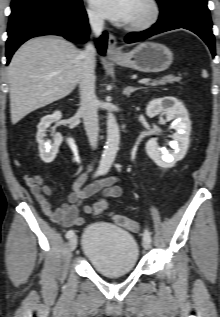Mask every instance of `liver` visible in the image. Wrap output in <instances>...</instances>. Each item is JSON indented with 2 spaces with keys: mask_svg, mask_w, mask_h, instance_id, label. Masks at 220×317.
<instances>
[{
  "mask_svg": "<svg viewBox=\"0 0 220 317\" xmlns=\"http://www.w3.org/2000/svg\"><path fill=\"white\" fill-rule=\"evenodd\" d=\"M82 62L81 51L61 37L24 43L7 69L12 124L69 95L79 83Z\"/></svg>",
  "mask_w": 220,
  "mask_h": 317,
  "instance_id": "6515ba94",
  "label": "liver"
}]
</instances>
